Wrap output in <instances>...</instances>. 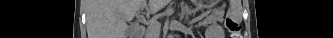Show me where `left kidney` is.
Returning <instances> with one entry per match:
<instances>
[{
    "label": "left kidney",
    "mask_w": 333,
    "mask_h": 38,
    "mask_svg": "<svg viewBox=\"0 0 333 38\" xmlns=\"http://www.w3.org/2000/svg\"><path fill=\"white\" fill-rule=\"evenodd\" d=\"M210 31H213L214 38H223L224 32H223V29L220 26L209 27L207 29V33H209ZM207 36H208V34H207Z\"/></svg>",
    "instance_id": "1"
}]
</instances>
